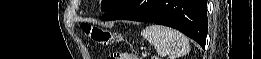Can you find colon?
<instances>
[{"mask_svg": "<svg viewBox=\"0 0 261 59\" xmlns=\"http://www.w3.org/2000/svg\"><path fill=\"white\" fill-rule=\"evenodd\" d=\"M83 30L95 43L100 45L115 44L121 40L118 34L97 26L85 25L83 27ZM119 58L120 56L119 55L117 56L116 54H112L108 57V59H119ZM125 58L135 59V57L131 55Z\"/></svg>", "mask_w": 261, "mask_h": 59, "instance_id": "colon-1", "label": "colon"}]
</instances>
